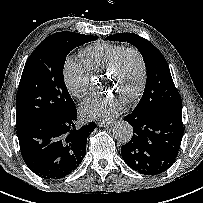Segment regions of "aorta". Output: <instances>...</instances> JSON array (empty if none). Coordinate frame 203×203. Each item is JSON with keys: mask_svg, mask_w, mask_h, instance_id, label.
Masks as SVG:
<instances>
[{"mask_svg": "<svg viewBox=\"0 0 203 203\" xmlns=\"http://www.w3.org/2000/svg\"><path fill=\"white\" fill-rule=\"evenodd\" d=\"M113 134L119 142L128 143L133 136V127L128 122H117L113 128Z\"/></svg>", "mask_w": 203, "mask_h": 203, "instance_id": "aorta-1", "label": "aorta"}]
</instances>
